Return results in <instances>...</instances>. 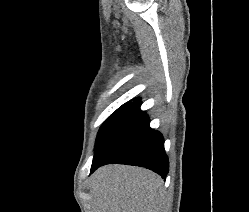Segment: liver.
<instances>
[{
  "label": "liver",
  "instance_id": "obj_1",
  "mask_svg": "<svg viewBox=\"0 0 249 212\" xmlns=\"http://www.w3.org/2000/svg\"><path fill=\"white\" fill-rule=\"evenodd\" d=\"M163 180L135 166L110 164L90 178L93 212H165Z\"/></svg>",
  "mask_w": 249,
  "mask_h": 212
}]
</instances>
